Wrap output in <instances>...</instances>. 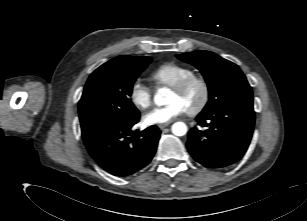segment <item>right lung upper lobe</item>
<instances>
[{
	"label": "right lung upper lobe",
	"instance_id": "right-lung-upper-lobe-1",
	"mask_svg": "<svg viewBox=\"0 0 307 221\" xmlns=\"http://www.w3.org/2000/svg\"><path fill=\"white\" fill-rule=\"evenodd\" d=\"M140 58H142V57H131L129 55L118 56V57L110 60L109 62L103 64L102 66L116 65L118 63H123V62H132V61H136Z\"/></svg>",
	"mask_w": 307,
	"mask_h": 221
}]
</instances>
